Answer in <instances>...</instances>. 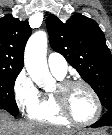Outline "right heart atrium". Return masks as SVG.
Masks as SVG:
<instances>
[{"label": "right heart atrium", "mask_w": 112, "mask_h": 135, "mask_svg": "<svg viewBox=\"0 0 112 135\" xmlns=\"http://www.w3.org/2000/svg\"><path fill=\"white\" fill-rule=\"evenodd\" d=\"M13 95L18 108L26 113L37 107L41 99L39 89L25 71H21L16 77Z\"/></svg>", "instance_id": "1"}]
</instances>
